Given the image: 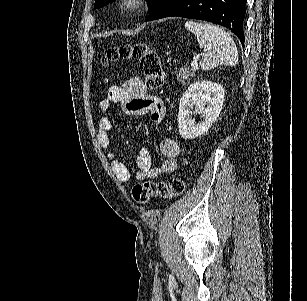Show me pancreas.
Returning a JSON list of instances; mask_svg holds the SVG:
<instances>
[{"label":"pancreas","instance_id":"pancreas-1","mask_svg":"<svg viewBox=\"0 0 307 301\" xmlns=\"http://www.w3.org/2000/svg\"><path fill=\"white\" fill-rule=\"evenodd\" d=\"M193 74H195L193 70H186V68H181V70H178L176 74V80L177 82H182V84H186V82H188L189 78H191Z\"/></svg>","mask_w":307,"mask_h":301}]
</instances>
